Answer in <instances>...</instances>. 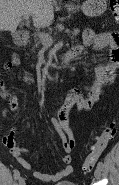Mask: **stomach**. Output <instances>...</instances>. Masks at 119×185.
I'll use <instances>...</instances> for the list:
<instances>
[{"mask_svg": "<svg viewBox=\"0 0 119 185\" xmlns=\"http://www.w3.org/2000/svg\"><path fill=\"white\" fill-rule=\"evenodd\" d=\"M81 8L88 17L99 16L107 9V0H86Z\"/></svg>", "mask_w": 119, "mask_h": 185, "instance_id": "stomach-1", "label": "stomach"}]
</instances>
